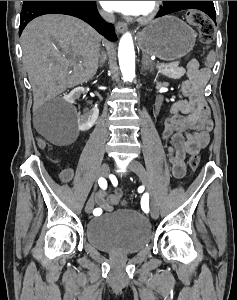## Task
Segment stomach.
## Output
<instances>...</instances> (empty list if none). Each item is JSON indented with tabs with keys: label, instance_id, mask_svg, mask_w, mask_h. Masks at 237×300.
I'll return each instance as SVG.
<instances>
[{
	"label": "stomach",
	"instance_id": "1",
	"mask_svg": "<svg viewBox=\"0 0 237 300\" xmlns=\"http://www.w3.org/2000/svg\"><path fill=\"white\" fill-rule=\"evenodd\" d=\"M143 53L162 61H176L188 55L195 45L196 33L177 17H161L150 21L137 35Z\"/></svg>",
	"mask_w": 237,
	"mask_h": 300
}]
</instances>
